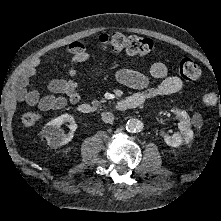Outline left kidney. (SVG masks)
I'll return each instance as SVG.
<instances>
[{
  "instance_id": "1",
  "label": "left kidney",
  "mask_w": 221,
  "mask_h": 221,
  "mask_svg": "<svg viewBox=\"0 0 221 221\" xmlns=\"http://www.w3.org/2000/svg\"><path fill=\"white\" fill-rule=\"evenodd\" d=\"M171 112L175 113L180 121L178 127L181 134L174 133L172 136L166 134L164 135V141L171 147H179L183 143L188 144L193 139L194 133L191 130V122L187 112L178 109H172Z\"/></svg>"
}]
</instances>
